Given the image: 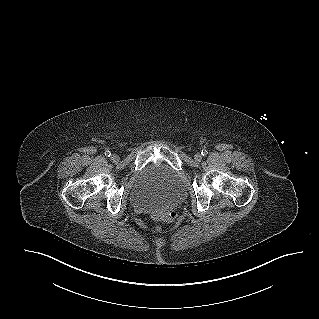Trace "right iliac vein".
I'll return each instance as SVG.
<instances>
[{"label": "right iliac vein", "mask_w": 319, "mask_h": 319, "mask_svg": "<svg viewBox=\"0 0 319 319\" xmlns=\"http://www.w3.org/2000/svg\"><path fill=\"white\" fill-rule=\"evenodd\" d=\"M111 160H112L114 163H116V162L119 161V156H118L117 154H112Z\"/></svg>", "instance_id": "obj_1"}]
</instances>
